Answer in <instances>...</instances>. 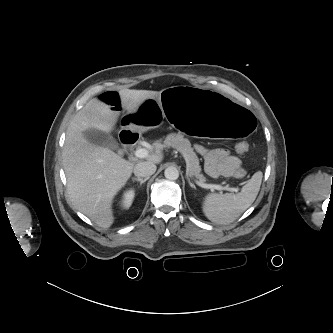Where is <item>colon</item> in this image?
<instances>
[{
    "label": "colon",
    "mask_w": 333,
    "mask_h": 333,
    "mask_svg": "<svg viewBox=\"0 0 333 333\" xmlns=\"http://www.w3.org/2000/svg\"><path fill=\"white\" fill-rule=\"evenodd\" d=\"M249 149V145L247 142H239L237 145H236V150L238 153H245L247 152ZM234 176L237 178V179H242L246 176V171L244 169H237L234 173Z\"/></svg>",
    "instance_id": "obj_1"
}]
</instances>
